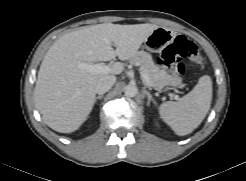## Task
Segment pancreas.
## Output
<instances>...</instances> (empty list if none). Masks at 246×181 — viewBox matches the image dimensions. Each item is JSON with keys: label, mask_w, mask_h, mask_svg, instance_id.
Here are the masks:
<instances>
[{"label": "pancreas", "mask_w": 246, "mask_h": 181, "mask_svg": "<svg viewBox=\"0 0 246 181\" xmlns=\"http://www.w3.org/2000/svg\"><path fill=\"white\" fill-rule=\"evenodd\" d=\"M129 62L131 65L140 66L141 73L146 74L149 78L148 86L156 90H161L167 85H177L181 82L178 75H170L167 71L155 65L152 56L147 52H137Z\"/></svg>", "instance_id": "obj_1"}]
</instances>
